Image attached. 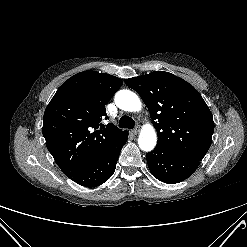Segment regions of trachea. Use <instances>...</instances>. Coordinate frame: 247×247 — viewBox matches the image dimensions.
<instances>
[{
	"instance_id": "obj_1",
	"label": "trachea",
	"mask_w": 247,
	"mask_h": 247,
	"mask_svg": "<svg viewBox=\"0 0 247 247\" xmlns=\"http://www.w3.org/2000/svg\"><path fill=\"white\" fill-rule=\"evenodd\" d=\"M134 126H135L134 120L128 116H122L119 120L120 128L132 129Z\"/></svg>"
}]
</instances>
